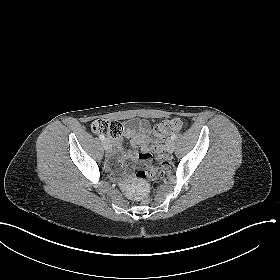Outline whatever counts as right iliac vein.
<instances>
[{
    "mask_svg": "<svg viewBox=\"0 0 280 280\" xmlns=\"http://www.w3.org/2000/svg\"><path fill=\"white\" fill-rule=\"evenodd\" d=\"M104 149L109 152L112 149V145L109 139H104L103 141Z\"/></svg>",
    "mask_w": 280,
    "mask_h": 280,
    "instance_id": "1",
    "label": "right iliac vein"
}]
</instances>
